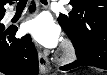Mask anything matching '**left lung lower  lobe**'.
Segmentation results:
<instances>
[{
	"label": "left lung lower lobe",
	"mask_w": 107,
	"mask_h": 75,
	"mask_svg": "<svg viewBox=\"0 0 107 75\" xmlns=\"http://www.w3.org/2000/svg\"><path fill=\"white\" fill-rule=\"evenodd\" d=\"M92 45V52L87 57H77L73 63L60 67L61 70H71L79 66H95L107 70V24L99 20L90 27L86 36Z\"/></svg>",
	"instance_id": "obj_1"
}]
</instances>
